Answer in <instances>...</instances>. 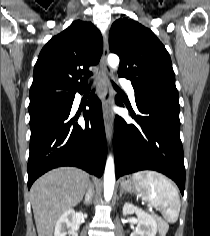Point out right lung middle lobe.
I'll return each instance as SVG.
<instances>
[{"label":"right lung middle lobe","mask_w":210,"mask_h":236,"mask_svg":"<svg viewBox=\"0 0 210 236\" xmlns=\"http://www.w3.org/2000/svg\"><path fill=\"white\" fill-rule=\"evenodd\" d=\"M70 93L53 89H42L30 98L29 112L53 103H61L68 100Z\"/></svg>","instance_id":"1"}]
</instances>
